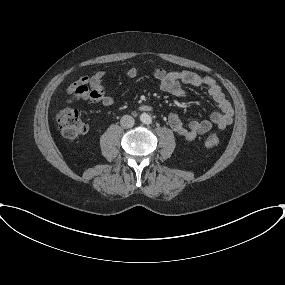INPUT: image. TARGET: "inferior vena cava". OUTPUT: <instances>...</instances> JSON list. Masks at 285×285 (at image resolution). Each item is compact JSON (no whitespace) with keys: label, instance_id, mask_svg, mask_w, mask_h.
<instances>
[{"label":"inferior vena cava","instance_id":"obj_1","mask_svg":"<svg viewBox=\"0 0 285 285\" xmlns=\"http://www.w3.org/2000/svg\"><path fill=\"white\" fill-rule=\"evenodd\" d=\"M120 124L123 128H131L134 125V118L130 115L122 116Z\"/></svg>","mask_w":285,"mask_h":285}]
</instances>
